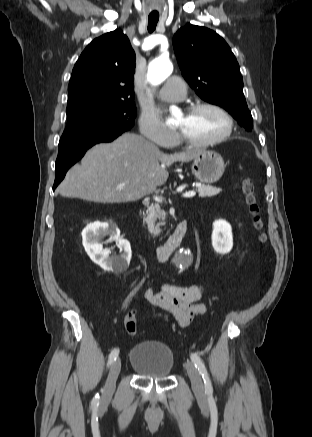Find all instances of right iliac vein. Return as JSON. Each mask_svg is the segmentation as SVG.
<instances>
[{
	"label": "right iliac vein",
	"mask_w": 312,
	"mask_h": 437,
	"mask_svg": "<svg viewBox=\"0 0 312 437\" xmlns=\"http://www.w3.org/2000/svg\"><path fill=\"white\" fill-rule=\"evenodd\" d=\"M120 370H121V361H120V359H117L112 364L110 371H109V374H108V378H107L105 388H104V393L102 396L103 402L108 401L112 397V394L115 390L116 380H117V377L120 373Z\"/></svg>",
	"instance_id": "1"
}]
</instances>
